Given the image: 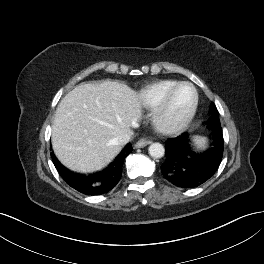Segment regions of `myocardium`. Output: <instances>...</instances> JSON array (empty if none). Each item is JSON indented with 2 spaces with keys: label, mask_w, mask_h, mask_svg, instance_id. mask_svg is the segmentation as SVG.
I'll use <instances>...</instances> for the list:
<instances>
[{
  "label": "myocardium",
  "mask_w": 264,
  "mask_h": 264,
  "mask_svg": "<svg viewBox=\"0 0 264 264\" xmlns=\"http://www.w3.org/2000/svg\"><path fill=\"white\" fill-rule=\"evenodd\" d=\"M184 86L192 89L193 100L186 114L178 121H171L168 118L170 106L175 93ZM199 106V93L195 85L188 81L178 82L165 95L161 103L155 108L152 115L154 128L166 135H173L185 130L194 119Z\"/></svg>",
  "instance_id": "f54148a6"
}]
</instances>
